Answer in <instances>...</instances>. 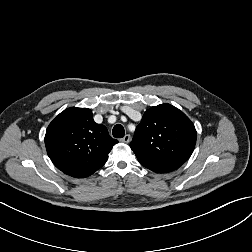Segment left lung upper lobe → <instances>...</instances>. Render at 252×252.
Returning <instances> with one entry per match:
<instances>
[{
    "label": "left lung upper lobe",
    "instance_id": "5c2ea615",
    "mask_svg": "<svg viewBox=\"0 0 252 252\" xmlns=\"http://www.w3.org/2000/svg\"><path fill=\"white\" fill-rule=\"evenodd\" d=\"M196 129L179 109L162 104L144 113L130 147L140 163L159 160L185 162L196 144Z\"/></svg>",
    "mask_w": 252,
    "mask_h": 252
}]
</instances>
